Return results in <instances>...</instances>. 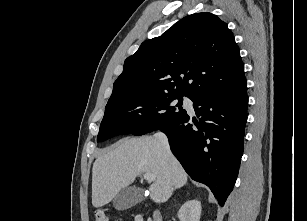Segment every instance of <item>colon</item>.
<instances>
[{"mask_svg": "<svg viewBox=\"0 0 307 221\" xmlns=\"http://www.w3.org/2000/svg\"><path fill=\"white\" fill-rule=\"evenodd\" d=\"M94 221H109L108 216L102 210H97L94 214ZM134 221H149L141 216L135 217Z\"/></svg>", "mask_w": 307, "mask_h": 221, "instance_id": "obj_1", "label": "colon"}]
</instances>
